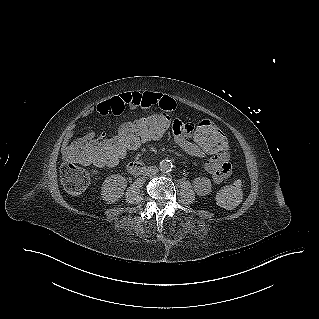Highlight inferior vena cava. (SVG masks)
I'll return each instance as SVG.
<instances>
[{
    "label": "inferior vena cava",
    "instance_id": "1",
    "mask_svg": "<svg viewBox=\"0 0 319 319\" xmlns=\"http://www.w3.org/2000/svg\"><path fill=\"white\" fill-rule=\"evenodd\" d=\"M157 172H158V169H157V167H154V166L149 167L148 170H147V174H149V175H154Z\"/></svg>",
    "mask_w": 319,
    "mask_h": 319
}]
</instances>
